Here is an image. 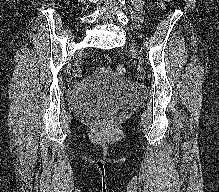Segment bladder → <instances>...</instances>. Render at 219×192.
Segmentation results:
<instances>
[{
	"mask_svg": "<svg viewBox=\"0 0 219 192\" xmlns=\"http://www.w3.org/2000/svg\"><path fill=\"white\" fill-rule=\"evenodd\" d=\"M143 95L142 87L127 80L108 76L90 87L78 84L71 88V107L87 117H106L137 101Z\"/></svg>",
	"mask_w": 219,
	"mask_h": 192,
	"instance_id": "bladder-1",
	"label": "bladder"
}]
</instances>
